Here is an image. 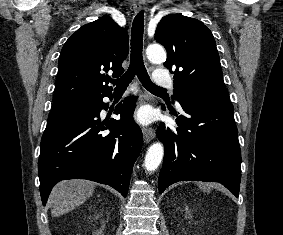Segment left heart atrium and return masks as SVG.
<instances>
[{
    "label": "left heart atrium",
    "instance_id": "obj_1",
    "mask_svg": "<svg viewBox=\"0 0 283 235\" xmlns=\"http://www.w3.org/2000/svg\"><path fill=\"white\" fill-rule=\"evenodd\" d=\"M137 120L142 124H147L150 122V113L147 109L143 108L137 112Z\"/></svg>",
    "mask_w": 283,
    "mask_h": 235
}]
</instances>
